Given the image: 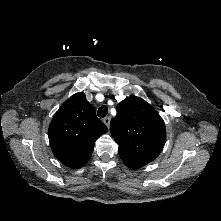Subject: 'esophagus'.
Here are the masks:
<instances>
[{"instance_id": "1", "label": "esophagus", "mask_w": 221, "mask_h": 221, "mask_svg": "<svg viewBox=\"0 0 221 221\" xmlns=\"http://www.w3.org/2000/svg\"><path fill=\"white\" fill-rule=\"evenodd\" d=\"M110 121H111V118H110V117H106V118L103 119V122H104V124H105L107 127H109Z\"/></svg>"}]
</instances>
